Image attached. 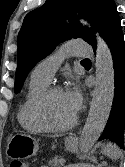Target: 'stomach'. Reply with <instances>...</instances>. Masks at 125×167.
<instances>
[{"instance_id":"stomach-1","label":"stomach","mask_w":125,"mask_h":167,"mask_svg":"<svg viewBox=\"0 0 125 167\" xmlns=\"http://www.w3.org/2000/svg\"><path fill=\"white\" fill-rule=\"evenodd\" d=\"M65 146L67 150L74 151L77 143L66 141ZM38 149V141L28 134L16 133L7 139L6 154L12 159L32 157L37 154Z\"/></svg>"}]
</instances>
